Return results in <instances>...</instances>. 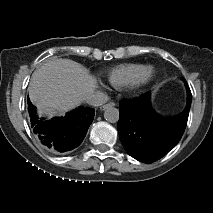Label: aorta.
Masks as SVG:
<instances>
[{
	"instance_id": "obj_1",
	"label": "aorta",
	"mask_w": 213,
	"mask_h": 213,
	"mask_svg": "<svg viewBox=\"0 0 213 213\" xmlns=\"http://www.w3.org/2000/svg\"><path fill=\"white\" fill-rule=\"evenodd\" d=\"M104 119L109 123H117L119 120V110L112 105L107 106L104 111Z\"/></svg>"
}]
</instances>
